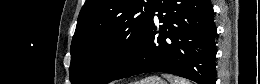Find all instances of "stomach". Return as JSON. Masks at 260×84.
I'll return each instance as SVG.
<instances>
[{
	"mask_svg": "<svg viewBox=\"0 0 260 84\" xmlns=\"http://www.w3.org/2000/svg\"><path fill=\"white\" fill-rule=\"evenodd\" d=\"M135 84H167V83L161 77L153 75V76L146 77L136 82Z\"/></svg>",
	"mask_w": 260,
	"mask_h": 84,
	"instance_id": "0dacf381",
	"label": "stomach"
}]
</instances>
